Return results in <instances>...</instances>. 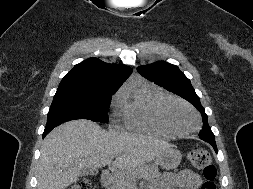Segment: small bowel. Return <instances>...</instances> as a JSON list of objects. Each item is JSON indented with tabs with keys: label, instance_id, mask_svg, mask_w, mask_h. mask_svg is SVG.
<instances>
[{
	"label": "small bowel",
	"instance_id": "obj_1",
	"mask_svg": "<svg viewBox=\"0 0 253 189\" xmlns=\"http://www.w3.org/2000/svg\"><path fill=\"white\" fill-rule=\"evenodd\" d=\"M201 177L191 171L182 170L178 173H165L160 178L157 189H199Z\"/></svg>",
	"mask_w": 253,
	"mask_h": 189
}]
</instances>
